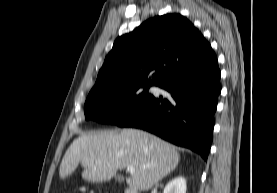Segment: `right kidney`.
Masks as SVG:
<instances>
[{
	"mask_svg": "<svg viewBox=\"0 0 277 193\" xmlns=\"http://www.w3.org/2000/svg\"><path fill=\"white\" fill-rule=\"evenodd\" d=\"M187 186L184 177L180 176L171 180L164 188L163 193H186Z\"/></svg>",
	"mask_w": 277,
	"mask_h": 193,
	"instance_id": "ca27d5eb",
	"label": "right kidney"
}]
</instances>
